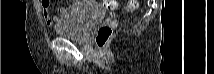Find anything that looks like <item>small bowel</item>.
<instances>
[{
  "mask_svg": "<svg viewBox=\"0 0 214 74\" xmlns=\"http://www.w3.org/2000/svg\"><path fill=\"white\" fill-rule=\"evenodd\" d=\"M40 3H41V8H42L43 18H44L46 25L49 27H55L58 24V22L60 21L61 17L51 14L50 7L52 4V1L42 0ZM60 11H61V13H65L67 11V9L65 7H62Z\"/></svg>",
  "mask_w": 214,
  "mask_h": 74,
  "instance_id": "obj_1",
  "label": "small bowel"
}]
</instances>
